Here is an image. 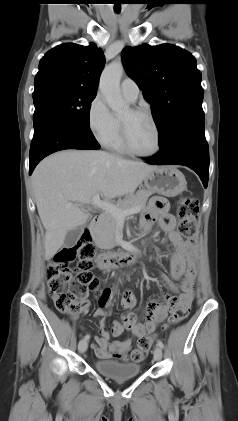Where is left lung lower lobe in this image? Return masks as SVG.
<instances>
[{
	"instance_id": "obj_1",
	"label": "left lung lower lobe",
	"mask_w": 238,
	"mask_h": 421,
	"mask_svg": "<svg viewBox=\"0 0 238 421\" xmlns=\"http://www.w3.org/2000/svg\"><path fill=\"white\" fill-rule=\"evenodd\" d=\"M160 152L146 158L151 165L180 164L194 170L207 187L209 151L204 133V118L192 119L182 124L166 141Z\"/></svg>"
}]
</instances>
